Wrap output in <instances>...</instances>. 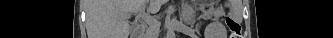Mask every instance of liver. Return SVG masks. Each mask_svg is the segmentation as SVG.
I'll return each mask as SVG.
<instances>
[{
  "instance_id": "1",
  "label": "liver",
  "mask_w": 333,
  "mask_h": 38,
  "mask_svg": "<svg viewBox=\"0 0 333 38\" xmlns=\"http://www.w3.org/2000/svg\"><path fill=\"white\" fill-rule=\"evenodd\" d=\"M166 0H87L86 29L88 38H128V18L146 4L155 13Z\"/></svg>"
}]
</instances>
